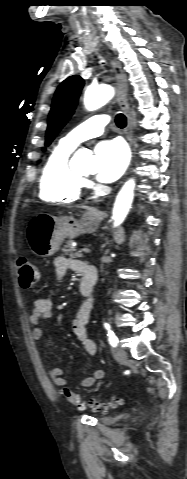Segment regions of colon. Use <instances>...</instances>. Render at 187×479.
Here are the masks:
<instances>
[{
    "instance_id": "5ec220e1",
    "label": "colon",
    "mask_w": 187,
    "mask_h": 479,
    "mask_svg": "<svg viewBox=\"0 0 187 479\" xmlns=\"http://www.w3.org/2000/svg\"><path fill=\"white\" fill-rule=\"evenodd\" d=\"M17 271L19 275V284L24 289L31 288L39 278V272L32 262L27 257H19L16 262ZM63 396L78 409H85L87 403L82 401L74 392L68 388L62 390ZM120 403L119 400L113 399L110 403L102 404L99 402H91L89 405L95 410L106 411L110 407L116 406Z\"/></svg>"
}]
</instances>
